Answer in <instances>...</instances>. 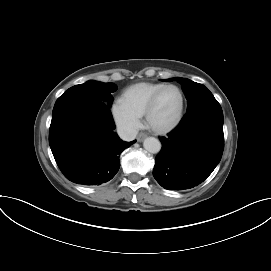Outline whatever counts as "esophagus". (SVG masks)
<instances>
[{"mask_svg": "<svg viewBox=\"0 0 271 271\" xmlns=\"http://www.w3.org/2000/svg\"><path fill=\"white\" fill-rule=\"evenodd\" d=\"M146 137H147V135H146L145 133H140V134L137 136V141H138V142H141V141H143Z\"/></svg>", "mask_w": 271, "mask_h": 271, "instance_id": "34e87169", "label": "esophagus"}]
</instances>
